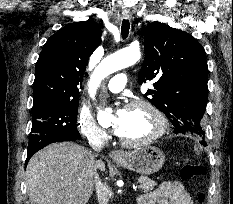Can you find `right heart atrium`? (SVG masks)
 <instances>
[{"mask_svg":"<svg viewBox=\"0 0 233 204\" xmlns=\"http://www.w3.org/2000/svg\"><path fill=\"white\" fill-rule=\"evenodd\" d=\"M76 125L81 136L89 143H102L108 138L105 130L95 122L90 112L84 108L78 110Z\"/></svg>","mask_w":233,"mask_h":204,"instance_id":"obj_1","label":"right heart atrium"}]
</instances>
